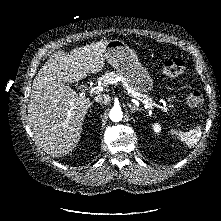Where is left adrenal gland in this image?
<instances>
[{"mask_svg":"<svg viewBox=\"0 0 221 221\" xmlns=\"http://www.w3.org/2000/svg\"><path fill=\"white\" fill-rule=\"evenodd\" d=\"M127 106L131 109V112L134 113L136 111H141V108H138L136 106L131 105L130 103H127Z\"/></svg>","mask_w":221,"mask_h":221,"instance_id":"1","label":"left adrenal gland"}]
</instances>
